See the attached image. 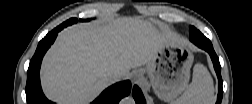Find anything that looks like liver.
<instances>
[{
    "label": "liver",
    "instance_id": "1",
    "mask_svg": "<svg viewBox=\"0 0 252 104\" xmlns=\"http://www.w3.org/2000/svg\"><path fill=\"white\" fill-rule=\"evenodd\" d=\"M171 40L176 38L163 24L140 17L67 27L43 59V90L59 103H89L112 83L108 72L128 76L130 69L146 65Z\"/></svg>",
    "mask_w": 252,
    "mask_h": 104
}]
</instances>
